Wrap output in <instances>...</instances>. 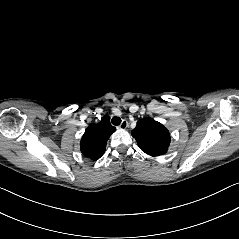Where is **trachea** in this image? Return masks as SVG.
I'll return each instance as SVG.
<instances>
[{"instance_id":"trachea-1","label":"trachea","mask_w":239,"mask_h":239,"mask_svg":"<svg viewBox=\"0 0 239 239\" xmlns=\"http://www.w3.org/2000/svg\"><path fill=\"white\" fill-rule=\"evenodd\" d=\"M112 124L118 126L121 123V119L117 116L113 117L111 120Z\"/></svg>"}]
</instances>
